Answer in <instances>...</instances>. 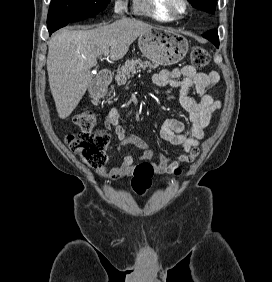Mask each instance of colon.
I'll return each instance as SVG.
<instances>
[{
	"instance_id": "colon-1",
	"label": "colon",
	"mask_w": 272,
	"mask_h": 282,
	"mask_svg": "<svg viewBox=\"0 0 272 282\" xmlns=\"http://www.w3.org/2000/svg\"><path fill=\"white\" fill-rule=\"evenodd\" d=\"M190 59L193 66L204 67L209 63L210 57L204 48L193 46ZM73 122L80 128V131L66 137L69 149L88 166L94 169L105 168L109 160L110 135L106 130L93 131L98 122L95 110L89 106L83 107L73 116ZM150 170L151 166L147 163L139 165L135 170L131 184L139 194L144 193L148 186L146 178ZM175 173L179 174L180 170L176 169Z\"/></svg>"
}]
</instances>
